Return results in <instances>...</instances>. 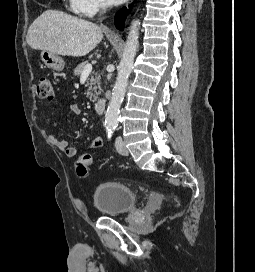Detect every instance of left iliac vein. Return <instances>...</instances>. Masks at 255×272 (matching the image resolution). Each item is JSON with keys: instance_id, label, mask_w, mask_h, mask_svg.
Wrapping results in <instances>:
<instances>
[{"instance_id": "left-iliac-vein-1", "label": "left iliac vein", "mask_w": 255, "mask_h": 272, "mask_svg": "<svg viewBox=\"0 0 255 272\" xmlns=\"http://www.w3.org/2000/svg\"><path fill=\"white\" fill-rule=\"evenodd\" d=\"M115 145H116V149L117 151L121 154V155H128V149L126 148L123 140L121 137H117L115 140Z\"/></svg>"}]
</instances>
